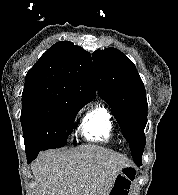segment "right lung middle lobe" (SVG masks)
Returning <instances> with one entry per match:
<instances>
[{"label":"right lung middle lobe","mask_w":178,"mask_h":195,"mask_svg":"<svg viewBox=\"0 0 178 195\" xmlns=\"http://www.w3.org/2000/svg\"><path fill=\"white\" fill-rule=\"evenodd\" d=\"M86 101L50 98L22 99L21 125L26 155L60 148L74 129V119Z\"/></svg>","instance_id":"1"}]
</instances>
